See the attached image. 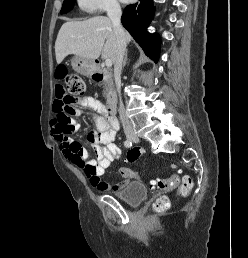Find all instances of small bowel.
Returning a JSON list of instances; mask_svg holds the SVG:
<instances>
[{"instance_id": "1", "label": "small bowel", "mask_w": 248, "mask_h": 258, "mask_svg": "<svg viewBox=\"0 0 248 258\" xmlns=\"http://www.w3.org/2000/svg\"><path fill=\"white\" fill-rule=\"evenodd\" d=\"M55 91L57 98L66 94L60 82L56 84ZM79 103L81 106L90 108L95 112L92 115V121L96 132H90L87 139L96 151V160L91 159L88 152L78 142L73 141L68 134L60 133L55 121L53 123L54 138L59 142L60 149L68 161L75 166L84 168V170L93 169L95 176L88 177L96 189L100 191H119L130 180L136 179L137 174L128 168H122L120 175L124 178L123 181L108 184L102 179L103 174L109 168L110 164L121 156L120 148L114 143L119 129L118 120L115 117L108 116L105 106L94 97H83L79 100ZM82 114V109L73 108L74 116H80ZM71 124L73 130L74 128L76 130L79 129V123L76 120H71Z\"/></svg>"}]
</instances>
